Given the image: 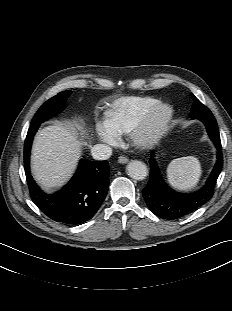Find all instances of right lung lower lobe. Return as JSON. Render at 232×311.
Returning a JSON list of instances; mask_svg holds the SVG:
<instances>
[{
	"label": "right lung lower lobe",
	"mask_w": 232,
	"mask_h": 311,
	"mask_svg": "<svg viewBox=\"0 0 232 311\" xmlns=\"http://www.w3.org/2000/svg\"><path fill=\"white\" fill-rule=\"evenodd\" d=\"M39 125L30 126L24 147L25 174L30 196L49 218L65 224L78 225L91 219L109 188V163L82 159L72 179L62 190L46 194L40 190L30 174V151Z\"/></svg>",
	"instance_id": "98d812e1"
}]
</instances>
